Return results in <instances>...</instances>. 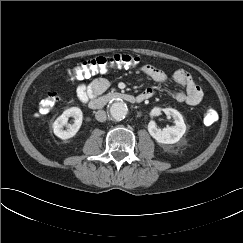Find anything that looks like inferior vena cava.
Returning <instances> with one entry per match:
<instances>
[{
    "label": "inferior vena cava",
    "instance_id": "602c4592",
    "mask_svg": "<svg viewBox=\"0 0 243 243\" xmlns=\"http://www.w3.org/2000/svg\"><path fill=\"white\" fill-rule=\"evenodd\" d=\"M95 118L100 121L103 122L106 120V112L104 110H98L95 114Z\"/></svg>",
    "mask_w": 243,
    "mask_h": 243
}]
</instances>
